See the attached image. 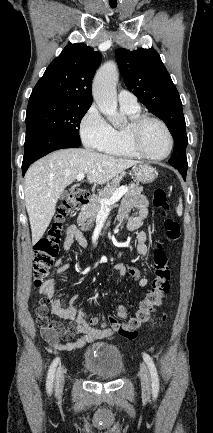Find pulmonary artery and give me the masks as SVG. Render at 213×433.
Returning a JSON list of instances; mask_svg holds the SVG:
<instances>
[{"label":"pulmonary artery","instance_id":"pulmonary-artery-1","mask_svg":"<svg viewBox=\"0 0 213 433\" xmlns=\"http://www.w3.org/2000/svg\"><path fill=\"white\" fill-rule=\"evenodd\" d=\"M118 101L119 104L124 107L132 108V109L139 107L136 96L132 92L125 89L119 91Z\"/></svg>","mask_w":213,"mask_h":433}]
</instances>
